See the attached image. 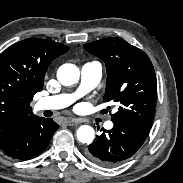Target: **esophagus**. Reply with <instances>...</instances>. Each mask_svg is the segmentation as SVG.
<instances>
[{"instance_id":"34e87169","label":"esophagus","mask_w":183,"mask_h":183,"mask_svg":"<svg viewBox=\"0 0 183 183\" xmlns=\"http://www.w3.org/2000/svg\"><path fill=\"white\" fill-rule=\"evenodd\" d=\"M81 122H82V120H79V119H68V120H66V124L68 126H77Z\"/></svg>"}]
</instances>
